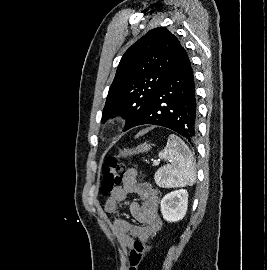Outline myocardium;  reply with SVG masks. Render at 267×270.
<instances>
[{
  "mask_svg": "<svg viewBox=\"0 0 267 270\" xmlns=\"http://www.w3.org/2000/svg\"><path fill=\"white\" fill-rule=\"evenodd\" d=\"M116 127V122L113 123H107L106 125H104L103 127V134L104 135H108L110 134L114 128Z\"/></svg>",
  "mask_w": 267,
  "mask_h": 270,
  "instance_id": "1",
  "label": "myocardium"
}]
</instances>
